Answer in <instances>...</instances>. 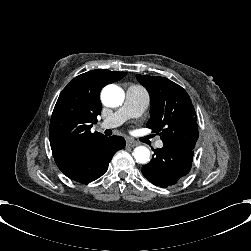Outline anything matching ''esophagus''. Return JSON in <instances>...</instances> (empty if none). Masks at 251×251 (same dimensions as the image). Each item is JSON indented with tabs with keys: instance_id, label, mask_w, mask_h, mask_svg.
Wrapping results in <instances>:
<instances>
[{
	"instance_id": "obj_1",
	"label": "esophagus",
	"mask_w": 251,
	"mask_h": 251,
	"mask_svg": "<svg viewBox=\"0 0 251 251\" xmlns=\"http://www.w3.org/2000/svg\"><path fill=\"white\" fill-rule=\"evenodd\" d=\"M127 145L130 146V147H135V146L139 145V142L128 139L127 140Z\"/></svg>"
}]
</instances>
